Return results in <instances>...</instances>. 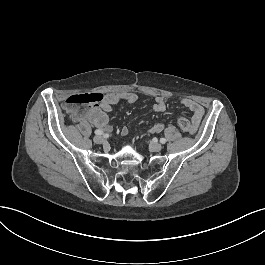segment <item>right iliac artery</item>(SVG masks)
I'll return each mask as SVG.
<instances>
[{"mask_svg": "<svg viewBox=\"0 0 265 265\" xmlns=\"http://www.w3.org/2000/svg\"><path fill=\"white\" fill-rule=\"evenodd\" d=\"M96 135H102L103 134V131L102 130H95L94 132Z\"/></svg>", "mask_w": 265, "mask_h": 265, "instance_id": "right-iliac-artery-1", "label": "right iliac artery"}]
</instances>
